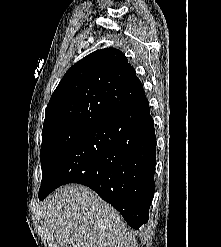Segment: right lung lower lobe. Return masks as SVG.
I'll return each mask as SVG.
<instances>
[{
  "instance_id": "right-lung-lower-lobe-1",
  "label": "right lung lower lobe",
  "mask_w": 221,
  "mask_h": 247,
  "mask_svg": "<svg viewBox=\"0 0 221 247\" xmlns=\"http://www.w3.org/2000/svg\"><path fill=\"white\" fill-rule=\"evenodd\" d=\"M156 136L147 98L83 134L57 163L39 191L80 183L117 209L128 225L148 222L155 191Z\"/></svg>"
}]
</instances>
